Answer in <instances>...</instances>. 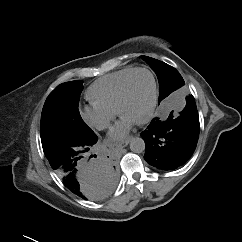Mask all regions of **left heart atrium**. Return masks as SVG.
<instances>
[{
    "instance_id": "39dd6f15",
    "label": "left heart atrium",
    "mask_w": 242,
    "mask_h": 242,
    "mask_svg": "<svg viewBox=\"0 0 242 242\" xmlns=\"http://www.w3.org/2000/svg\"><path fill=\"white\" fill-rule=\"evenodd\" d=\"M135 123L136 122L132 119L121 116L120 121L117 122L115 126L111 129L109 133L110 138L113 140H119L124 138Z\"/></svg>"
}]
</instances>
